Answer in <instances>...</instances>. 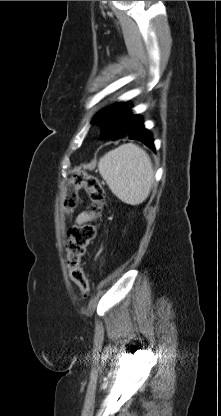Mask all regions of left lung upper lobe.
Masks as SVG:
<instances>
[{"label": "left lung upper lobe", "mask_w": 221, "mask_h": 416, "mask_svg": "<svg viewBox=\"0 0 221 416\" xmlns=\"http://www.w3.org/2000/svg\"><path fill=\"white\" fill-rule=\"evenodd\" d=\"M134 115L125 103L112 105L99 112L92 124L102 127V135L107 138H118L129 133Z\"/></svg>", "instance_id": "left-lung-upper-lobe-1"}]
</instances>
